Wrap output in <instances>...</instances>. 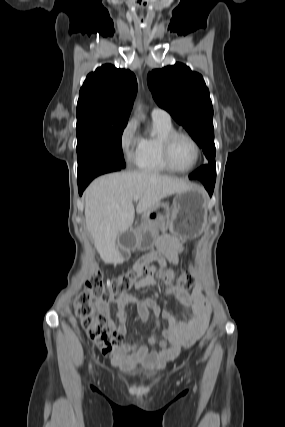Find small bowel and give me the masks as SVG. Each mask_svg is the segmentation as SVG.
Returning <instances> with one entry per match:
<instances>
[{
	"instance_id": "1",
	"label": "small bowel",
	"mask_w": 285,
	"mask_h": 427,
	"mask_svg": "<svg viewBox=\"0 0 285 427\" xmlns=\"http://www.w3.org/2000/svg\"><path fill=\"white\" fill-rule=\"evenodd\" d=\"M183 251V245L177 235L163 234L159 236L156 240V250L141 258L134 265V287L141 289L156 285L152 278H143L142 265L144 263L158 261L164 266L166 258L172 263L178 264ZM165 293L175 298L183 307L191 308L193 318L181 324L174 314L162 311L153 298L139 299L129 293H123L113 299L115 318L111 314L108 303L100 301L95 303L97 312L121 338L127 334L128 314L125 307L129 304L136 305L138 315L143 322L152 320L154 325V330L146 342H121L111 353L104 352L114 364L126 370H132L137 365L148 370L161 369L167 362L175 359L182 348L191 347L205 333L211 306L204 294L203 286L198 284L190 294L174 280H171L167 282ZM159 318L166 321V327L161 337L159 336ZM154 345H160L161 349L151 351L150 347Z\"/></svg>"
}]
</instances>
